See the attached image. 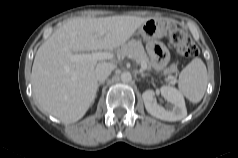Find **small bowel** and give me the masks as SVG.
Listing matches in <instances>:
<instances>
[{
  "label": "small bowel",
  "mask_w": 238,
  "mask_h": 158,
  "mask_svg": "<svg viewBox=\"0 0 238 158\" xmlns=\"http://www.w3.org/2000/svg\"><path fill=\"white\" fill-rule=\"evenodd\" d=\"M147 50L154 64L157 67L165 66L168 62V53L166 48L158 42H150L147 45Z\"/></svg>",
  "instance_id": "c3829d8e"
}]
</instances>
